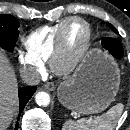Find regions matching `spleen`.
<instances>
[{"mask_svg": "<svg viewBox=\"0 0 130 130\" xmlns=\"http://www.w3.org/2000/svg\"><path fill=\"white\" fill-rule=\"evenodd\" d=\"M123 108V104L119 103L102 116L94 119L82 118L76 122L67 120L62 126V130H113L123 112Z\"/></svg>", "mask_w": 130, "mask_h": 130, "instance_id": "spleen-1", "label": "spleen"}]
</instances>
